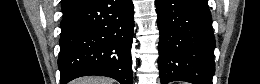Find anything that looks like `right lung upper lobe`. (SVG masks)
I'll use <instances>...</instances> for the list:
<instances>
[{
	"label": "right lung upper lobe",
	"instance_id": "cb5924a9",
	"mask_svg": "<svg viewBox=\"0 0 260 84\" xmlns=\"http://www.w3.org/2000/svg\"><path fill=\"white\" fill-rule=\"evenodd\" d=\"M87 0H62L63 16L77 9Z\"/></svg>",
	"mask_w": 260,
	"mask_h": 84
}]
</instances>
